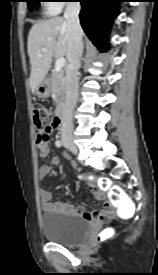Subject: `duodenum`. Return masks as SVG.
Listing matches in <instances>:
<instances>
[{
  "mask_svg": "<svg viewBox=\"0 0 158 275\" xmlns=\"http://www.w3.org/2000/svg\"><path fill=\"white\" fill-rule=\"evenodd\" d=\"M64 117H65V107L62 103H60L56 111V118L59 124L64 119Z\"/></svg>",
  "mask_w": 158,
  "mask_h": 275,
  "instance_id": "410a0bca",
  "label": "duodenum"
}]
</instances>
